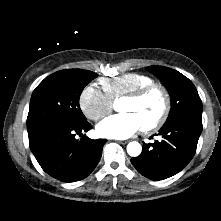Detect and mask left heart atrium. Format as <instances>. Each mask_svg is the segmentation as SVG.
I'll list each match as a JSON object with an SVG mask.
<instances>
[{
  "label": "left heart atrium",
  "mask_w": 221,
  "mask_h": 221,
  "mask_svg": "<svg viewBox=\"0 0 221 221\" xmlns=\"http://www.w3.org/2000/svg\"><path fill=\"white\" fill-rule=\"evenodd\" d=\"M142 127L140 120L132 113L112 115L97 125V133L100 136L116 139H125Z\"/></svg>",
  "instance_id": "1"
}]
</instances>
